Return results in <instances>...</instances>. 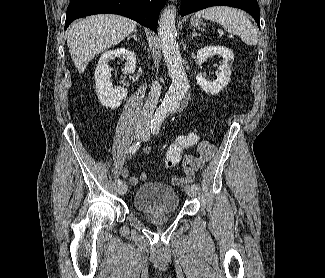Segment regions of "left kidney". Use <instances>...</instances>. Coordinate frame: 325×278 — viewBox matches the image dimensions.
Instances as JSON below:
<instances>
[{
	"label": "left kidney",
	"mask_w": 325,
	"mask_h": 278,
	"mask_svg": "<svg viewBox=\"0 0 325 278\" xmlns=\"http://www.w3.org/2000/svg\"><path fill=\"white\" fill-rule=\"evenodd\" d=\"M217 54L223 58V64L219 67L220 71L217 74V79L209 81L205 79L202 74H197L196 76L197 83L201 89L212 95H217L226 85H228L231 76V66L234 61V54L230 49L223 46L204 47L197 52V62L199 65L209 57Z\"/></svg>",
	"instance_id": "5707ae66"
}]
</instances>
